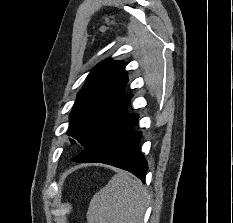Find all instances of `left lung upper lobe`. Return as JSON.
<instances>
[{
    "instance_id": "obj_1",
    "label": "left lung upper lobe",
    "mask_w": 233,
    "mask_h": 223,
    "mask_svg": "<svg viewBox=\"0 0 233 223\" xmlns=\"http://www.w3.org/2000/svg\"><path fill=\"white\" fill-rule=\"evenodd\" d=\"M123 61H103L88 75L70 114L68 135L83 147L89 145L105 125L124 107L128 81ZM71 142L75 143L71 139Z\"/></svg>"
}]
</instances>
